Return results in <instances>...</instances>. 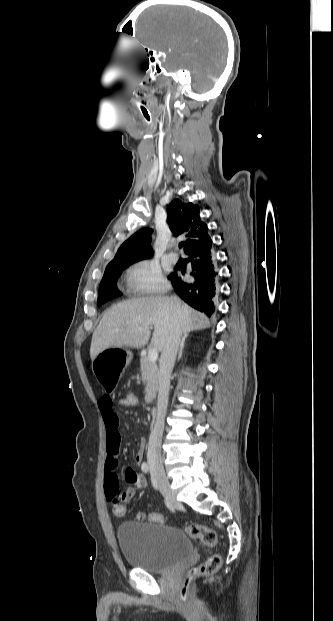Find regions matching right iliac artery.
Returning a JSON list of instances; mask_svg holds the SVG:
<instances>
[{
    "mask_svg": "<svg viewBox=\"0 0 333 621\" xmlns=\"http://www.w3.org/2000/svg\"><path fill=\"white\" fill-rule=\"evenodd\" d=\"M141 469L144 473H148L149 472V465L146 462H143L141 465Z\"/></svg>",
    "mask_w": 333,
    "mask_h": 621,
    "instance_id": "obj_1",
    "label": "right iliac artery"
}]
</instances>
